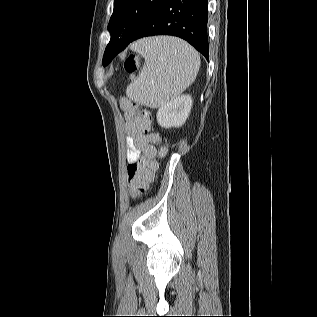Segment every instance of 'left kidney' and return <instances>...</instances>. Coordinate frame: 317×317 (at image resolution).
<instances>
[{
  "mask_svg": "<svg viewBox=\"0 0 317 317\" xmlns=\"http://www.w3.org/2000/svg\"><path fill=\"white\" fill-rule=\"evenodd\" d=\"M192 107V97L181 95L162 105L157 111V122L161 127L171 128L182 126Z\"/></svg>",
  "mask_w": 317,
  "mask_h": 317,
  "instance_id": "5707ae66",
  "label": "left kidney"
}]
</instances>
